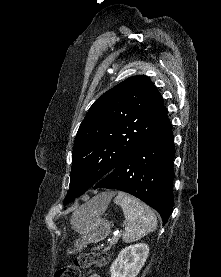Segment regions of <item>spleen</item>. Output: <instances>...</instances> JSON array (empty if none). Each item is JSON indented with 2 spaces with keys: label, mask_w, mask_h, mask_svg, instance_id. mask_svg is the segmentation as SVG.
<instances>
[{
  "label": "spleen",
  "mask_w": 221,
  "mask_h": 277,
  "mask_svg": "<svg viewBox=\"0 0 221 277\" xmlns=\"http://www.w3.org/2000/svg\"><path fill=\"white\" fill-rule=\"evenodd\" d=\"M114 202L121 206L125 216L124 242L131 243L139 240L156 229L155 214L137 198L124 192H118Z\"/></svg>",
  "instance_id": "3e777b00"
}]
</instances>
